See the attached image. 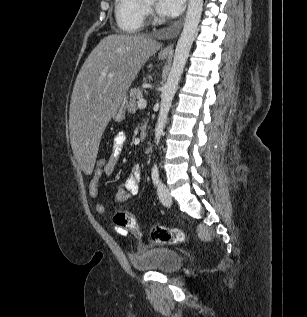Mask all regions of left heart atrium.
<instances>
[{"instance_id":"obj_1","label":"left heart atrium","mask_w":307,"mask_h":317,"mask_svg":"<svg viewBox=\"0 0 307 317\" xmlns=\"http://www.w3.org/2000/svg\"><path fill=\"white\" fill-rule=\"evenodd\" d=\"M156 10L159 14L166 17H175L179 15L183 9L185 0H155Z\"/></svg>"}]
</instances>
